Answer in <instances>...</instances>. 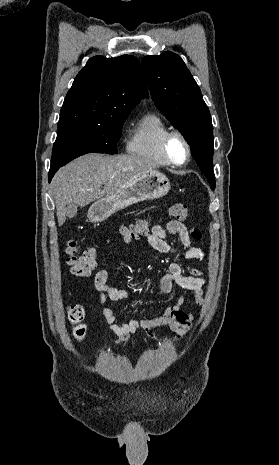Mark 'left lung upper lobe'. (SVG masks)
<instances>
[{
    "instance_id": "5c2ea615",
    "label": "left lung upper lobe",
    "mask_w": 279,
    "mask_h": 465,
    "mask_svg": "<svg viewBox=\"0 0 279 465\" xmlns=\"http://www.w3.org/2000/svg\"><path fill=\"white\" fill-rule=\"evenodd\" d=\"M156 107L180 130L212 188H215L213 126L209 109L180 56L163 52L142 60Z\"/></svg>"
}]
</instances>
